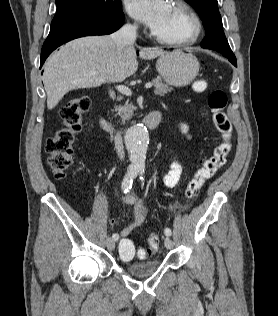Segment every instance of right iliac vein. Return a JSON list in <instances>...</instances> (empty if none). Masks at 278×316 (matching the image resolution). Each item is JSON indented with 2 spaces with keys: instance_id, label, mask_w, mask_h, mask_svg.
<instances>
[{
  "instance_id": "1",
  "label": "right iliac vein",
  "mask_w": 278,
  "mask_h": 316,
  "mask_svg": "<svg viewBox=\"0 0 278 316\" xmlns=\"http://www.w3.org/2000/svg\"><path fill=\"white\" fill-rule=\"evenodd\" d=\"M106 244H107V248L109 250H113L115 248V240L114 239L108 238Z\"/></svg>"
}]
</instances>
